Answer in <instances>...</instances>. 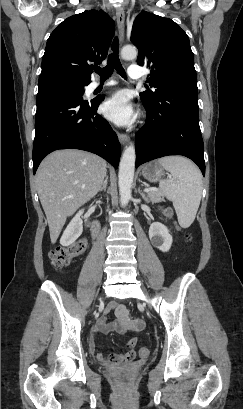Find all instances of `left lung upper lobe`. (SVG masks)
Listing matches in <instances>:
<instances>
[{"instance_id": "1", "label": "left lung upper lobe", "mask_w": 243, "mask_h": 409, "mask_svg": "<svg viewBox=\"0 0 243 409\" xmlns=\"http://www.w3.org/2000/svg\"><path fill=\"white\" fill-rule=\"evenodd\" d=\"M131 41L139 50L138 64L151 68L147 82L152 89L140 98L157 101L175 86L197 85L189 38L174 21L142 11L133 22Z\"/></svg>"}]
</instances>
